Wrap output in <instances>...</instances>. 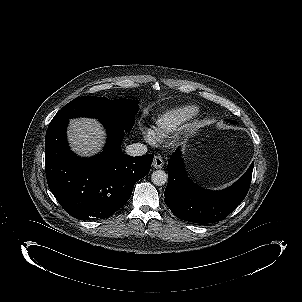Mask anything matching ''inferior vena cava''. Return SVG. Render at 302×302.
I'll return each instance as SVG.
<instances>
[{
    "mask_svg": "<svg viewBox=\"0 0 302 302\" xmlns=\"http://www.w3.org/2000/svg\"><path fill=\"white\" fill-rule=\"evenodd\" d=\"M125 152L130 156H142L147 153V146L142 143H133L126 147Z\"/></svg>",
    "mask_w": 302,
    "mask_h": 302,
    "instance_id": "602c4592",
    "label": "inferior vena cava"
}]
</instances>
